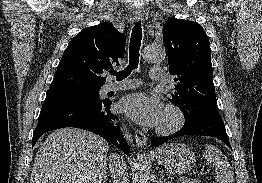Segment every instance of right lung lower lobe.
I'll return each mask as SVG.
<instances>
[{
  "label": "right lung lower lobe",
  "instance_id": "1",
  "mask_svg": "<svg viewBox=\"0 0 262 183\" xmlns=\"http://www.w3.org/2000/svg\"><path fill=\"white\" fill-rule=\"evenodd\" d=\"M111 100L46 97L33 133L32 147L40 136L50 130L76 127L92 131L129 154L118 117L111 113Z\"/></svg>",
  "mask_w": 262,
  "mask_h": 183
}]
</instances>
